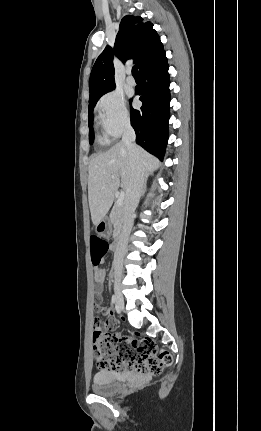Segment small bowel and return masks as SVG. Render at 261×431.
Here are the masks:
<instances>
[{"label": "small bowel", "mask_w": 261, "mask_h": 431, "mask_svg": "<svg viewBox=\"0 0 261 431\" xmlns=\"http://www.w3.org/2000/svg\"><path fill=\"white\" fill-rule=\"evenodd\" d=\"M106 271L103 268L96 267L94 269V282H95V297L93 299L94 304L99 305L103 300V292H104V280H105ZM101 317H107L104 321L103 325L95 326V330L97 329H109L112 326V319L116 316V313L110 308H101V313H99Z\"/></svg>", "instance_id": "obj_1"}]
</instances>
